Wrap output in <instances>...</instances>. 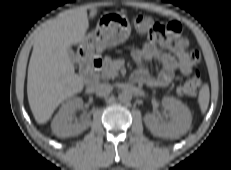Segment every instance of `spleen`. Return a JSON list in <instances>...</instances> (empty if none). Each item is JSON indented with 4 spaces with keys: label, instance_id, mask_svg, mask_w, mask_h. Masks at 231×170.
<instances>
[{
    "label": "spleen",
    "instance_id": "3e777b00",
    "mask_svg": "<svg viewBox=\"0 0 231 170\" xmlns=\"http://www.w3.org/2000/svg\"><path fill=\"white\" fill-rule=\"evenodd\" d=\"M209 86L207 84L203 85L200 89L198 96V104L202 113H205L209 105Z\"/></svg>",
    "mask_w": 231,
    "mask_h": 170
}]
</instances>
